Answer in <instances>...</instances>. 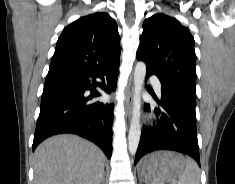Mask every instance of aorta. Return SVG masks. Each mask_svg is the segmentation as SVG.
<instances>
[{"mask_svg": "<svg viewBox=\"0 0 235 184\" xmlns=\"http://www.w3.org/2000/svg\"><path fill=\"white\" fill-rule=\"evenodd\" d=\"M146 76V64L144 62H137L134 72V94H133V108L132 118L128 136V150L131 156L137 152L138 144L141 138V90Z\"/></svg>", "mask_w": 235, "mask_h": 184, "instance_id": "1", "label": "aorta"}]
</instances>
